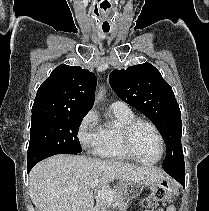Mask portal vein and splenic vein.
Returning <instances> with one entry per match:
<instances>
[{
	"label": "portal vein and splenic vein",
	"instance_id": "portal-vein-and-splenic-vein-1",
	"mask_svg": "<svg viewBox=\"0 0 209 211\" xmlns=\"http://www.w3.org/2000/svg\"><path fill=\"white\" fill-rule=\"evenodd\" d=\"M98 184H99V181L95 180L91 184V188L96 187ZM115 195H116L115 191H111V190H108V189H100V190L97 191L96 198L105 199L108 202H112Z\"/></svg>",
	"mask_w": 209,
	"mask_h": 211
}]
</instances>
